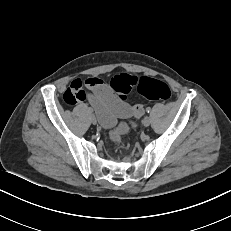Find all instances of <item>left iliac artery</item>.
I'll return each mask as SVG.
<instances>
[{
  "label": "left iliac artery",
  "instance_id": "44dca946",
  "mask_svg": "<svg viewBox=\"0 0 231 231\" xmlns=\"http://www.w3.org/2000/svg\"><path fill=\"white\" fill-rule=\"evenodd\" d=\"M146 112H147V113H150V112H151V108L148 107V108L146 109Z\"/></svg>",
  "mask_w": 231,
  "mask_h": 231
}]
</instances>
